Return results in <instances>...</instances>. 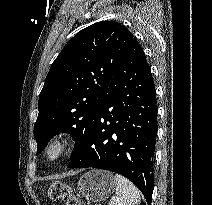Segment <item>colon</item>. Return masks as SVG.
I'll use <instances>...</instances> for the list:
<instances>
[{
  "mask_svg": "<svg viewBox=\"0 0 212 205\" xmlns=\"http://www.w3.org/2000/svg\"><path fill=\"white\" fill-rule=\"evenodd\" d=\"M49 199L64 202L66 205H82L69 184L56 182L46 190Z\"/></svg>",
  "mask_w": 212,
  "mask_h": 205,
  "instance_id": "1",
  "label": "colon"
}]
</instances>
